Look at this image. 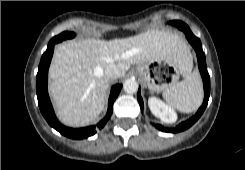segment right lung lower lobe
<instances>
[{"label": "right lung lower lobe", "mask_w": 245, "mask_h": 170, "mask_svg": "<svg viewBox=\"0 0 245 170\" xmlns=\"http://www.w3.org/2000/svg\"><path fill=\"white\" fill-rule=\"evenodd\" d=\"M55 44L56 43L49 42L47 50L41 58L36 77V93L40 111L43 114L46 121L49 123V125L57 131H59L62 135L72 139L87 138L96 133V127L98 129H102L106 122L109 120L113 112V103L117 98L119 92L121 91L122 85L118 84L112 87L108 102L107 114L105 118L102 119L97 125L79 129H73L63 126L55 116L47 91L48 68L51 62Z\"/></svg>", "instance_id": "right-lung-lower-lobe-1"}]
</instances>
